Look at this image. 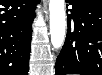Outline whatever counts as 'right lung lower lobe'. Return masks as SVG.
I'll return each mask as SVG.
<instances>
[{"mask_svg": "<svg viewBox=\"0 0 102 75\" xmlns=\"http://www.w3.org/2000/svg\"><path fill=\"white\" fill-rule=\"evenodd\" d=\"M37 0L0 1V75H28Z\"/></svg>", "mask_w": 102, "mask_h": 75, "instance_id": "1", "label": "right lung lower lobe"}]
</instances>
